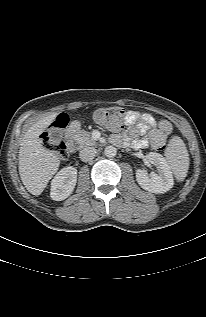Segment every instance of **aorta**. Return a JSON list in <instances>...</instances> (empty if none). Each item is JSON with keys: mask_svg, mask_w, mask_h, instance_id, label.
<instances>
[{"mask_svg": "<svg viewBox=\"0 0 206 317\" xmlns=\"http://www.w3.org/2000/svg\"><path fill=\"white\" fill-rule=\"evenodd\" d=\"M104 153L108 158H113L117 154V149L114 146H107Z\"/></svg>", "mask_w": 206, "mask_h": 317, "instance_id": "aorta-1", "label": "aorta"}]
</instances>
